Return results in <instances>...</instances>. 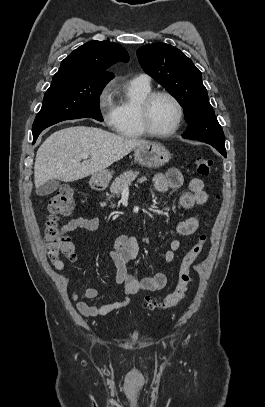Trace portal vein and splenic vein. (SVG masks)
<instances>
[{
	"mask_svg": "<svg viewBox=\"0 0 265 407\" xmlns=\"http://www.w3.org/2000/svg\"><path fill=\"white\" fill-rule=\"evenodd\" d=\"M83 159H87L89 156L88 155H82L81 156ZM126 188H128V187H126Z\"/></svg>",
	"mask_w": 265,
	"mask_h": 407,
	"instance_id": "portal-vein-and-splenic-vein-1",
	"label": "portal vein and splenic vein"
}]
</instances>
